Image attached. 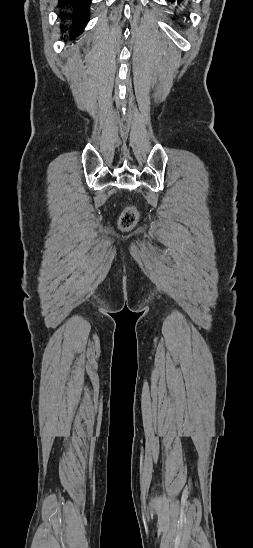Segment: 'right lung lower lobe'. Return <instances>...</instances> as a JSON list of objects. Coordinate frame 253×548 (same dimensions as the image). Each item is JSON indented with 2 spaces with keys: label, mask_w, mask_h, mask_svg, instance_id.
I'll use <instances>...</instances> for the list:
<instances>
[{
  "label": "right lung lower lobe",
  "mask_w": 253,
  "mask_h": 548,
  "mask_svg": "<svg viewBox=\"0 0 253 548\" xmlns=\"http://www.w3.org/2000/svg\"><path fill=\"white\" fill-rule=\"evenodd\" d=\"M61 3L72 6L76 12L73 16L75 22H79V30L89 21V5L91 0H59Z\"/></svg>",
  "instance_id": "right-lung-lower-lobe-1"
}]
</instances>
